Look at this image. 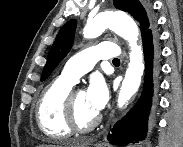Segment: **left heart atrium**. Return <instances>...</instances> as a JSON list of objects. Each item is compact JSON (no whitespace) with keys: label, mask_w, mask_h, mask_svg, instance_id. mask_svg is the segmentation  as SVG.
<instances>
[{"label":"left heart atrium","mask_w":183,"mask_h":147,"mask_svg":"<svg viewBox=\"0 0 183 147\" xmlns=\"http://www.w3.org/2000/svg\"><path fill=\"white\" fill-rule=\"evenodd\" d=\"M85 94L90 107L99 113L107 103L108 87L101 77H93Z\"/></svg>","instance_id":"left-heart-atrium-1"}]
</instances>
